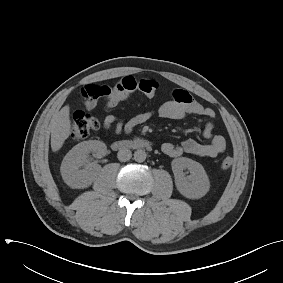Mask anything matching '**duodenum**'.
<instances>
[{
    "label": "duodenum",
    "instance_id": "410a0bca",
    "mask_svg": "<svg viewBox=\"0 0 283 283\" xmlns=\"http://www.w3.org/2000/svg\"><path fill=\"white\" fill-rule=\"evenodd\" d=\"M152 145L149 141L141 138L129 140H117L112 143V149L115 151L124 149H151Z\"/></svg>",
    "mask_w": 283,
    "mask_h": 283
}]
</instances>
